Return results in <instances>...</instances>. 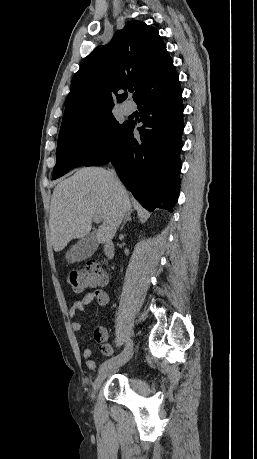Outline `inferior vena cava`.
<instances>
[{"instance_id":"obj_1","label":"inferior vena cava","mask_w":257,"mask_h":459,"mask_svg":"<svg viewBox=\"0 0 257 459\" xmlns=\"http://www.w3.org/2000/svg\"><path fill=\"white\" fill-rule=\"evenodd\" d=\"M110 175H111V177H112L114 180H117V179H118V178H117V175H116V172H115L114 170H111V171H110Z\"/></svg>"}]
</instances>
